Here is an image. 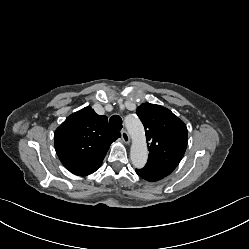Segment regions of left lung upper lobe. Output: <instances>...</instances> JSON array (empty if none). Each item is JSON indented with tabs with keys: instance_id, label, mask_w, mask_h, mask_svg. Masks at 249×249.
Returning <instances> with one entry per match:
<instances>
[{
	"instance_id": "left-lung-upper-lobe-1",
	"label": "left lung upper lobe",
	"mask_w": 249,
	"mask_h": 249,
	"mask_svg": "<svg viewBox=\"0 0 249 249\" xmlns=\"http://www.w3.org/2000/svg\"><path fill=\"white\" fill-rule=\"evenodd\" d=\"M136 113L144 125L149 150L143 170L166 177L178 166L185 153L187 127L170 110L160 105L144 103Z\"/></svg>"
}]
</instances>
